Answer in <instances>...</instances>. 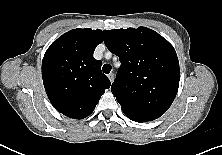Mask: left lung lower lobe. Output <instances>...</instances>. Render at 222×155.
I'll return each mask as SVG.
<instances>
[{"label": "left lung lower lobe", "instance_id": "left-lung-lower-lobe-1", "mask_svg": "<svg viewBox=\"0 0 222 155\" xmlns=\"http://www.w3.org/2000/svg\"><path fill=\"white\" fill-rule=\"evenodd\" d=\"M129 119L136 121V122H147V121H151V119L148 118H144V117H140V116H136V115H127L125 114Z\"/></svg>", "mask_w": 222, "mask_h": 155}]
</instances>
